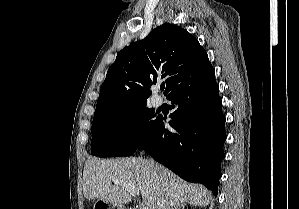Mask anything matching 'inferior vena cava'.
Instances as JSON below:
<instances>
[{
  "label": "inferior vena cava",
  "instance_id": "1",
  "mask_svg": "<svg viewBox=\"0 0 299 209\" xmlns=\"http://www.w3.org/2000/svg\"><path fill=\"white\" fill-rule=\"evenodd\" d=\"M153 167L157 170L159 169V167L154 163H153ZM156 209H169L167 199L164 196L159 198L156 205Z\"/></svg>",
  "mask_w": 299,
  "mask_h": 209
}]
</instances>
